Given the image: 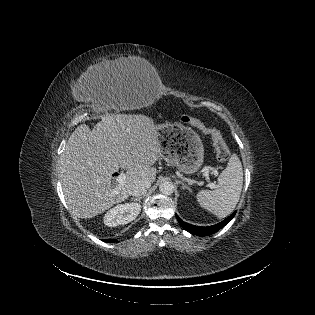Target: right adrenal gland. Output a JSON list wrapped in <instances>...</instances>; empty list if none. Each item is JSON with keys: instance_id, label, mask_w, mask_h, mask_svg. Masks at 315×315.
<instances>
[{"instance_id": "1", "label": "right adrenal gland", "mask_w": 315, "mask_h": 315, "mask_svg": "<svg viewBox=\"0 0 315 315\" xmlns=\"http://www.w3.org/2000/svg\"><path fill=\"white\" fill-rule=\"evenodd\" d=\"M143 198V196L141 197H135V198H132V201H138V202H141V199Z\"/></svg>"}]
</instances>
